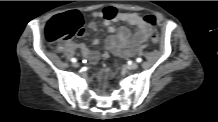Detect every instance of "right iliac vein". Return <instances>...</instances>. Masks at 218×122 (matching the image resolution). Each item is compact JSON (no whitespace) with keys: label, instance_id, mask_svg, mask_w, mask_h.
<instances>
[{"label":"right iliac vein","instance_id":"1","mask_svg":"<svg viewBox=\"0 0 218 122\" xmlns=\"http://www.w3.org/2000/svg\"><path fill=\"white\" fill-rule=\"evenodd\" d=\"M73 67L78 68L79 64L75 62V63H73Z\"/></svg>","mask_w":218,"mask_h":122}]
</instances>
